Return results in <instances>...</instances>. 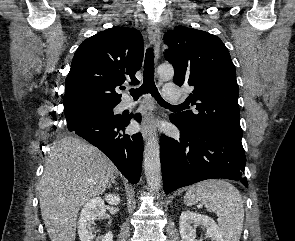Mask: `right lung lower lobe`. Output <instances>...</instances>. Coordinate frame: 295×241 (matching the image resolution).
Here are the masks:
<instances>
[{
  "instance_id": "98d812e1",
  "label": "right lung lower lobe",
  "mask_w": 295,
  "mask_h": 241,
  "mask_svg": "<svg viewBox=\"0 0 295 241\" xmlns=\"http://www.w3.org/2000/svg\"><path fill=\"white\" fill-rule=\"evenodd\" d=\"M131 118L141 120L140 114L120 117L95 115L68 121L67 127L69 131L98 147L130 183L136 184L142 167L143 139L140 133H125Z\"/></svg>"
}]
</instances>
